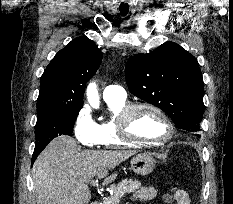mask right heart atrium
Instances as JSON below:
<instances>
[{"instance_id": "d8ad5b80", "label": "right heart atrium", "mask_w": 233, "mask_h": 204, "mask_svg": "<svg viewBox=\"0 0 233 204\" xmlns=\"http://www.w3.org/2000/svg\"><path fill=\"white\" fill-rule=\"evenodd\" d=\"M73 133L77 141L85 147L99 145L98 124L93 119L88 107L83 106L76 114Z\"/></svg>"}]
</instances>
